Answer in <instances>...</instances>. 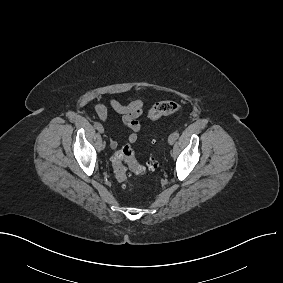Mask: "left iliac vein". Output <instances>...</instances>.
Wrapping results in <instances>:
<instances>
[{
    "mask_svg": "<svg viewBox=\"0 0 283 283\" xmlns=\"http://www.w3.org/2000/svg\"><path fill=\"white\" fill-rule=\"evenodd\" d=\"M176 136H175V133H172V134H170L169 135V137H168V143L170 144V145H173L174 143H175V141H176Z\"/></svg>",
    "mask_w": 283,
    "mask_h": 283,
    "instance_id": "obj_1",
    "label": "left iliac vein"
}]
</instances>
